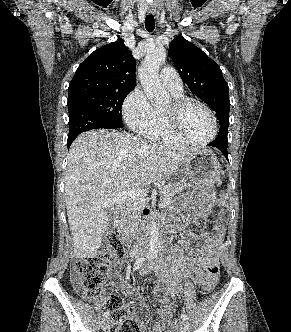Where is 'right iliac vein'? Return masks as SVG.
Returning a JSON list of instances; mask_svg holds the SVG:
<instances>
[{
    "label": "right iliac vein",
    "instance_id": "63e3f726",
    "mask_svg": "<svg viewBox=\"0 0 291 332\" xmlns=\"http://www.w3.org/2000/svg\"><path fill=\"white\" fill-rule=\"evenodd\" d=\"M109 323H110V320L109 318H103L102 321H101V328L103 331H106L109 327Z\"/></svg>",
    "mask_w": 291,
    "mask_h": 332
}]
</instances>
